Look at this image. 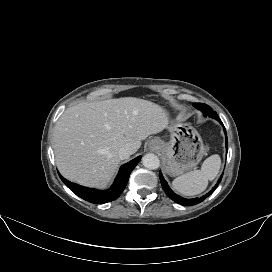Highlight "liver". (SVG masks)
<instances>
[{
	"label": "liver",
	"instance_id": "obj_1",
	"mask_svg": "<svg viewBox=\"0 0 272 272\" xmlns=\"http://www.w3.org/2000/svg\"><path fill=\"white\" fill-rule=\"evenodd\" d=\"M167 126V111L151 101L123 97L80 103L67 108L55 125L56 165L72 182L105 187L121 161L120 148L134 154L142 140Z\"/></svg>",
	"mask_w": 272,
	"mask_h": 272
}]
</instances>
